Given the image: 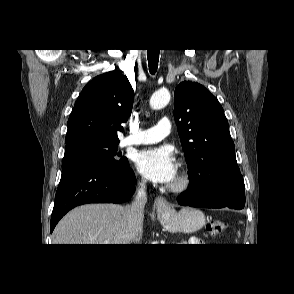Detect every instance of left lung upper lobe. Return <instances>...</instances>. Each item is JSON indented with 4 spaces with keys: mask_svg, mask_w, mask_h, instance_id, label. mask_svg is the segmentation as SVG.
<instances>
[{
    "mask_svg": "<svg viewBox=\"0 0 294 294\" xmlns=\"http://www.w3.org/2000/svg\"><path fill=\"white\" fill-rule=\"evenodd\" d=\"M174 103L190 184L202 188L212 175L240 174L228 121L217 98L203 85L184 81L175 89Z\"/></svg>",
    "mask_w": 294,
    "mask_h": 294,
    "instance_id": "1",
    "label": "left lung upper lobe"
}]
</instances>
